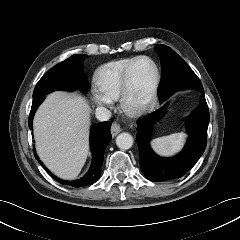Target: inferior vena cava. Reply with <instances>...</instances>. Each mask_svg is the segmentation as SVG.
Segmentation results:
<instances>
[{
  "instance_id": "602c4592",
  "label": "inferior vena cava",
  "mask_w": 240,
  "mask_h": 240,
  "mask_svg": "<svg viewBox=\"0 0 240 240\" xmlns=\"http://www.w3.org/2000/svg\"><path fill=\"white\" fill-rule=\"evenodd\" d=\"M95 115L99 121H107L111 118V112L105 107H98Z\"/></svg>"
}]
</instances>
